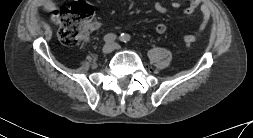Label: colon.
<instances>
[{
  "instance_id": "obj_1",
  "label": "colon",
  "mask_w": 253,
  "mask_h": 138,
  "mask_svg": "<svg viewBox=\"0 0 253 138\" xmlns=\"http://www.w3.org/2000/svg\"><path fill=\"white\" fill-rule=\"evenodd\" d=\"M94 15L93 7L87 2L80 1L70 7L52 10V17L59 25L58 37L67 46H74L87 39L92 29ZM196 34H186L183 38L187 45L198 42Z\"/></svg>"
}]
</instances>
